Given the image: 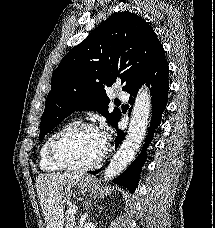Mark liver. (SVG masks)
Wrapping results in <instances>:
<instances>
[{
	"label": "liver",
	"instance_id": "liver-1",
	"mask_svg": "<svg viewBox=\"0 0 215 228\" xmlns=\"http://www.w3.org/2000/svg\"><path fill=\"white\" fill-rule=\"evenodd\" d=\"M82 178V174H41L36 178V192L46 228H63L64 188L77 184Z\"/></svg>",
	"mask_w": 215,
	"mask_h": 228
}]
</instances>
